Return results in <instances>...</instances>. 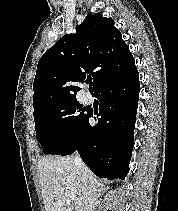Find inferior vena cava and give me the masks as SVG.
Wrapping results in <instances>:
<instances>
[{
	"label": "inferior vena cava",
	"mask_w": 178,
	"mask_h": 211,
	"mask_svg": "<svg viewBox=\"0 0 178 211\" xmlns=\"http://www.w3.org/2000/svg\"><path fill=\"white\" fill-rule=\"evenodd\" d=\"M74 164L83 173V176L86 177L88 169L85 166V164L83 163V161L80 158L78 153H75ZM96 198H97L96 186L93 183H91V185H89L88 190L86 192L83 210L84 211H93L95 202H96Z\"/></svg>",
	"instance_id": "602c4592"
}]
</instances>
